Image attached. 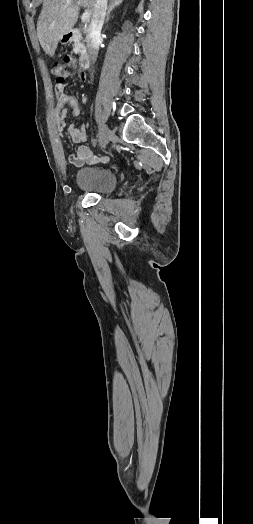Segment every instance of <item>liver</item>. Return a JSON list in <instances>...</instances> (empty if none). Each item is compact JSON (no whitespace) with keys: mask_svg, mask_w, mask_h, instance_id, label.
<instances>
[{"mask_svg":"<svg viewBox=\"0 0 253 524\" xmlns=\"http://www.w3.org/2000/svg\"><path fill=\"white\" fill-rule=\"evenodd\" d=\"M81 4L93 15L96 0H43V7L37 22V37L49 56H53L61 37L72 30L78 18Z\"/></svg>","mask_w":253,"mask_h":524,"instance_id":"1","label":"liver"}]
</instances>
